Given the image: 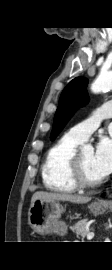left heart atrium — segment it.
Instances as JSON below:
<instances>
[{"label": "left heart atrium", "instance_id": "1", "mask_svg": "<svg viewBox=\"0 0 112 270\" xmlns=\"http://www.w3.org/2000/svg\"><path fill=\"white\" fill-rule=\"evenodd\" d=\"M94 169L100 178H104L112 172V139L102 137L93 155Z\"/></svg>", "mask_w": 112, "mask_h": 270}]
</instances>
